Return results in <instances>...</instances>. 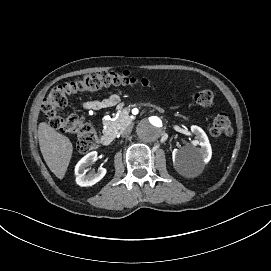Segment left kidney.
Masks as SVG:
<instances>
[{"instance_id": "5707ae66", "label": "left kidney", "mask_w": 271, "mask_h": 271, "mask_svg": "<svg viewBox=\"0 0 271 271\" xmlns=\"http://www.w3.org/2000/svg\"><path fill=\"white\" fill-rule=\"evenodd\" d=\"M191 131L198 137L201 148H193V151L190 152H186L183 149H174L172 152L174 167L183 175H190L202 163H208L212 156L211 145L203 129L192 125Z\"/></svg>"}]
</instances>
